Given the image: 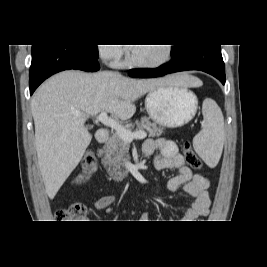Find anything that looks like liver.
<instances>
[{"mask_svg": "<svg viewBox=\"0 0 267 267\" xmlns=\"http://www.w3.org/2000/svg\"><path fill=\"white\" fill-rule=\"evenodd\" d=\"M200 87L188 74L159 79H131L102 71H64L43 83L31 100L35 146L45 190L53 199L79 164L92 135L84 126L88 116L108 112L121 120L131 118L134 102L161 86Z\"/></svg>", "mask_w": 267, "mask_h": 267, "instance_id": "liver-1", "label": "liver"}]
</instances>
